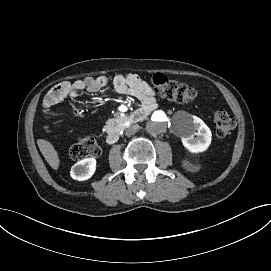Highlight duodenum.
I'll use <instances>...</instances> for the list:
<instances>
[{
	"mask_svg": "<svg viewBox=\"0 0 271 271\" xmlns=\"http://www.w3.org/2000/svg\"><path fill=\"white\" fill-rule=\"evenodd\" d=\"M146 113H147L146 109H144V108L138 109L137 111H135L132 114V116L130 118L131 122L136 123V122L141 121L144 118V116L146 115ZM106 141L109 145L115 144L118 141V133L110 132L107 135Z\"/></svg>",
	"mask_w": 271,
	"mask_h": 271,
	"instance_id": "duodenum-1",
	"label": "duodenum"
}]
</instances>
